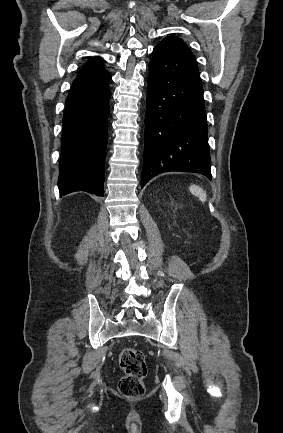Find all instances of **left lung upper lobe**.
Listing matches in <instances>:
<instances>
[{"instance_id":"5c2ea615","label":"left lung upper lobe","mask_w":283,"mask_h":433,"mask_svg":"<svg viewBox=\"0 0 283 433\" xmlns=\"http://www.w3.org/2000/svg\"><path fill=\"white\" fill-rule=\"evenodd\" d=\"M162 44L179 46L188 49L185 42H183L180 38L173 37V36L164 38L158 45H162Z\"/></svg>"}]
</instances>
